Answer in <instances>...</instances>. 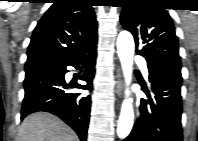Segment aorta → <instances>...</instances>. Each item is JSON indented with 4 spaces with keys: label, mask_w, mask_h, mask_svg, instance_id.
<instances>
[{
    "label": "aorta",
    "mask_w": 198,
    "mask_h": 141,
    "mask_svg": "<svg viewBox=\"0 0 198 141\" xmlns=\"http://www.w3.org/2000/svg\"><path fill=\"white\" fill-rule=\"evenodd\" d=\"M135 44L131 33L122 31L117 38V53L125 78V84L130 85L132 81V65ZM130 91L125 90V99L121 106V112L117 125V135L120 139H125L131 132L134 122L133 99L129 97Z\"/></svg>",
    "instance_id": "762f6f07"
}]
</instances>
